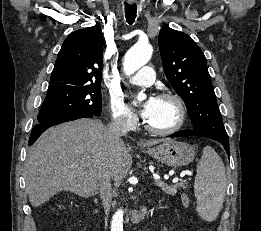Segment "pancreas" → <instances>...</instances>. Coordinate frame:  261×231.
Masks as SVG:
<instances>
[{
    "label": "pancreas",
    "mask_w": 261,
    "mask_h": 231,
    "mask_svg": "<svg viewBox=\"0 0 261 231\" xmlns=\"http://www.w3.org/2000/svg\"><path fill=\"white\" fill-rule=\"evenodd\" d=\"M160 188L163 190V192H165L168 195H175L177 192V188L178 187H184L183 183L174 185V186H170L168 184H163V185H159Z\"/></svg>",
    "instance_id": "obj_1"
}]
</instances>
